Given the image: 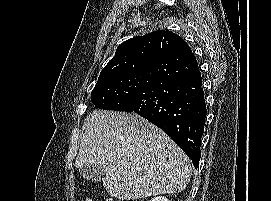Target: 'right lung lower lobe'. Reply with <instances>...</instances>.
I'll list each match as a JSON object with an SVG mask.
<instances>
[{
  "label": "right lung lower lobe",
  "instance_id": "obj_1",
  "mask_svg": "<svg viewBox=\"0 0 271 201\" xmlns=\"http://www.w3.org/2000/svg\"><path fill=\"white\" fill-rule=\"evenodd\" d=\"M148 89L122 102L118 111L135 112L171 137L198 167L206 106L202 78L183 40L151 69Z\"/></svg>",
  "mask_w": 271,
  "mask_h": 201
}]
</instances>
